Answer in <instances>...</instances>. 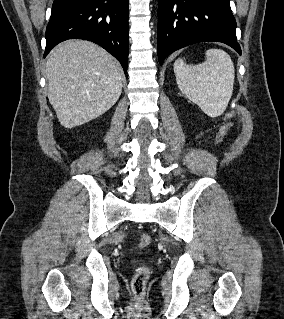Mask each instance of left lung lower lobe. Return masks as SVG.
I'll list each match as a JSON object with an SVG mask.
<instances>
[{"mask_svg": "<svg viewBox=\"0 0 284 319\" xmlns=\"http://www.w3.org/2000/svg\"><path fill=\"white\" fill-rule=\"evenodd\" d=\"M235 30L229 0H159V63L180 48L205 41L223 42L241 55Z\"/></svg>", "mask_w": 284, "mask_h": 319, "instance_id": "obj_1", "label": "left lung lower lobe"}]
</instances>
